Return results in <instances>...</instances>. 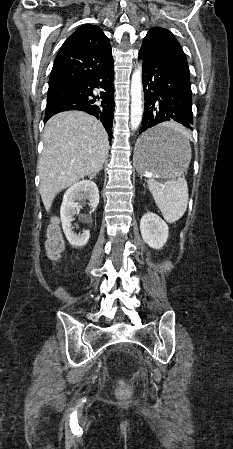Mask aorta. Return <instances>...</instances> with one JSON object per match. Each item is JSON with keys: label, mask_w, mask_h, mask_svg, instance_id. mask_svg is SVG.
<instances>
[{"label": "aorta", "mask_w": 233, "mask_h": 449, "mask_svg": "<svg viewBox=\"0 0 233 449\" xmlns=\"http://www.w3.org/2000/svg\"><path fill=\"white\" fill-rule=\"evenodd\" d=\"M142 66L138 64L131 79V129L136 130L142 120Z\"/></svg>", "instance_id": "762f6f07"}]
</instances>
